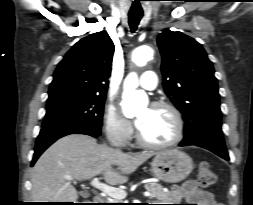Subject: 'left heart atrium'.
Masks as SVG:
<instances>
[{"mask_svg": "<svg viewBox=\"0 0 253 205\" xmlns=\"http://www.w3.org/2000/svg\"><path fill=\"white\" fill-rule=\"evenodd\" d=\"M140 124H141V120H140V119H137V120H136V126L139 127Z\"/></svg>", "mask_w": 253, "mask_h": 205, "instance_id": "39dd6f15", "label": "left heart atrium"}]
</instances>
